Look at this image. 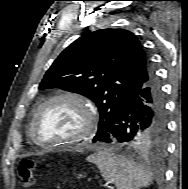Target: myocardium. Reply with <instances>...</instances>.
Masks as SVG:
<instances>
[{"instance_id": "obj_1", "label": "myocardium", "mask_w": 188, "mask_h": 189, "mask_svg": "<svg viewBox=\"0 0 188 189\" xmlns=\"http://www.w3.org/2000/svg\"><path fill=\"white\" fill-rule=\"evenodd\" d=\"M60 100H69L76 103L83 111L84 114V125L82 129L73 137L53 141V142H43L37 137V122L40 118L42 112L48 107L50 104L60 101ZM97 125V113L92 102L82 94L71 92V91H62L56 93L46 99L36 110L30 126V134L33 141L42 147H60L76 144L85 138H87L96 128Z\"/></svg>"}]
</instances>
